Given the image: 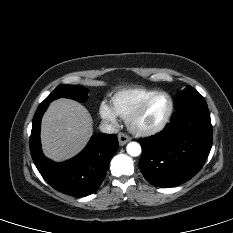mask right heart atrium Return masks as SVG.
<instances>
[{"instance_id": "right-heart-atrium-1", "label": "right heart atrium", "mask_w": 233, "mask_h": 233, "mask_svg": "<svg viewBox=\"0 0 233 233\" xmlns=\"http://www.w3.org/2000/svg\"><path fill=\"white\" fill-rule=\"evenodd\" d=\"M100 115L101 117L111 123V124H116L117 123V115L114 113L112 110L111 106H109L107 103H102L100 105Z\"/></svg>"}]
</instances>
